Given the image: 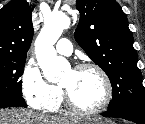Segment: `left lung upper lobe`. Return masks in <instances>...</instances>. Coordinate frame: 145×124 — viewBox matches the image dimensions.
Returning <instances> with one entry per match:
<instances>
[{
    "label": "left lung upper lobe",
    "mask_w": 145,
    "mask_h": 124,
    "mask_svg": "<svg viewBox=\"0 0 145 124\" xmlns=\"http://www.w3.org/2000/svg\"><path fill=\"white\" fill-rule=\"evenodd\" d=\"M80 20L75 39L108 75L113 97L108 110L145 111V93L137 52L125 13L115 0H77Z\"/></svg>",
    "instance_id": "1"
}]
</instances>
